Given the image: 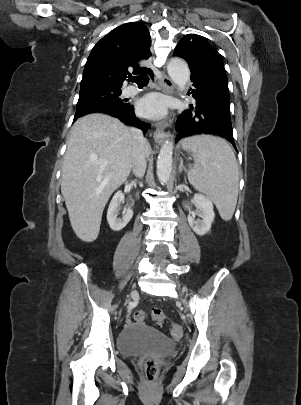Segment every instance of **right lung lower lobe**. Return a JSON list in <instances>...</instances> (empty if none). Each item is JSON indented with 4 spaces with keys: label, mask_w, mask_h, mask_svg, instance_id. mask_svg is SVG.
Returning a JSON list of instances; mask_svg holds the SVG:
<instances>
[{
    "label": "right lung lower lobe",
    "mask_w": 301,
    "mask_h": 405,
    "mask_svg": "<svg viewBox=\"0 0 301 405\" xmlns=\"http://www.w3.org/2000/svg\"><path fill=\"white\" fill-rule=\"evenodd\" d=\"M104 113V114H108L112 117H116L118 119H120L122 122H124L127 125H132L135 127H138L140 129H142L144 131V133H146L147 129L150 128V124L145 123L140 121L134 114V107L128 105L127 107H120V108H101L92 112H88V113ZM86 113V114H88ZM85 115V114H83ZM83 115H75L74 117V121L78 118L81 117Z\"/></svg>",
    "instance_id": "obj_1"
}]
</instances>
